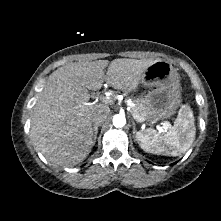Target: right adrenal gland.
I'll return each mask as SVG.
<instances>
[{
    "instance_id": "obj_1",
    "label": "right adrenal gland",
    "mask_w": 221,
    "mask_h": 221,
    "mask_svg": "<svg viewBox=\"0 0 221 221\" xmlns=\"http://www.w3.org/2000/svg\"><path fill=\"white\" fill-rule=\"evenodd\" d=\"M100 126V124H96L93 127V139H94V144L96 142V138H97V134H98V127Z\"/></svg>"
}]
</instances>
